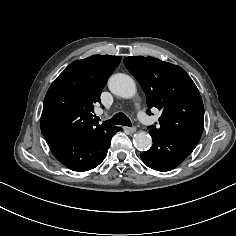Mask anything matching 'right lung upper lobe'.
Masks as SVG:
<instances>
[{"label": "right lung upper lobe", "mask_w": 236, "mask_h": 236, "mask_svg": "<svg viewBox=\"0 0 236 236\" xmlns=\"http://www.w3.org/2000/svg\"><path fill=\"white\" fill-rule=\"evenodd\" d=\"M120 61V56L95 55L67 66L44 99L40 125L45 138L92 133L108 126L96 122L91 112Z\"/></svg>", "instance_id": "obj_1"}]
</instances>
